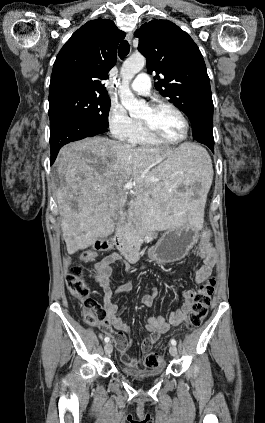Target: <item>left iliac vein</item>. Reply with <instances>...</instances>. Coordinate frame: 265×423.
<instances>
[{
    "mask_svg": "<svg viewBox=\"0 0 265 423\" xmlns=\"http://www.w3.org/2000/svg\"><path fill=\"white\" fill-rule=\"evenodd\" d=\"M169 352H170L171 356H173V357L177 356V353H178L177 347L174 346V345L170 346Z\"/></svg>",
    "mask_w": 265,
    "mask_h": 423,
    "instance_id": "left-iliac-vein-1",
    "label": "left iliac vein"
}]
</instances>
